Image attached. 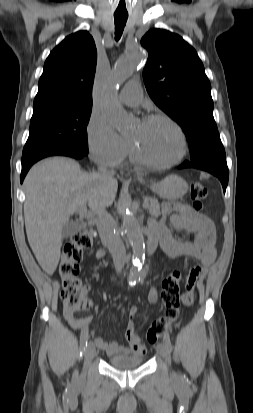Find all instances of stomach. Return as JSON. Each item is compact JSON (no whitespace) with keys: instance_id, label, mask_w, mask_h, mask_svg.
I'll use <instances>...</instances> for the list:
<instances>
[{"instance_id":"0dacf381","label":"stomach","mask_w":253,"mask_h":413,"mask_svg":"<svg viewBox=\"0 0 253 413\" xmlns=\"http://www.w3.org/2000/svg\"><path fill=\"white\" fill-rule=\"evenodd\" d=\"M151 189L161 198L175 201L187 193L188 184L180 176L169 175L160 182H153Z\"/></svg>"}]
</instances>
